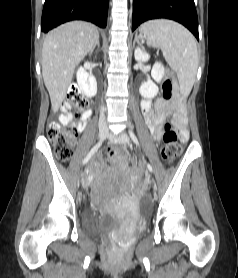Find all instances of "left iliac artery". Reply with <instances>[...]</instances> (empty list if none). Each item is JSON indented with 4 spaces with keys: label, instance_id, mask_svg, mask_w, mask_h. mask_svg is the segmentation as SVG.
Returning a JSON list of instances; mask_svg holds the SVG:
<instances>
[{
    "label": "left iliac artery",
    "instance_id": "44dca946",
    "mask_svg": "<svg viewBox=\"0 0 238 278\" xmlns=\"http://www.w3.org/2000/svg\"><path fill=\"white\" fill-rule=\"evenodd\" d=\"M129 135H130L131 139L133 140V142H134L136 145H139V141H138L136 135L133 133L132 130H129ZM147 168H148V170H149L150 172H153V168H152V166H151L150 164H147Z\"/></svg>",
    "mask_w": 238,
    "mask_h": 278
}]
</instances>
